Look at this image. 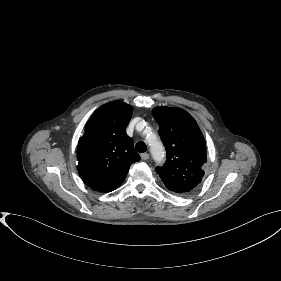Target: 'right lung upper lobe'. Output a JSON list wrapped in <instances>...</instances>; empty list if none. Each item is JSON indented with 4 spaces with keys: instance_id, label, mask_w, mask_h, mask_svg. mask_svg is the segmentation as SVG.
<instances>
[{
    "instance_id": "right-lung-upper-lobe-1",
    "label": "right lung upper lobe",
    "mask_w": 281,
    "mask_h": 281,
    "mask_svg": "<svg viewBox=\"0 0 281 281\" xmlns=\"http://www.w3.org/2000/svg\"><path fill=\"white\" fill-rule=\"evenodd\" d=\"M132 107L112 101L99 107L78 141V171L86 185L110 192L124 181L130 165L140 160L133 140L126 134Z\"/></svg>"
}]
</instances>
